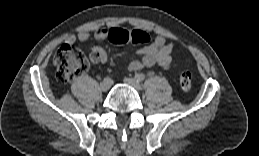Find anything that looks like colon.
<instances>
[{
  "instance_id": "colon-1",
  "label": "colon",
  "mask_w": 259,
  "mask_h": 156,
  "mask_svg": "<svg viewBox=\"0 0 259 156\" xmlns=\"http://www.w3.org/2000/svg\"><path fill=\"white\" fill-rule=\"evenodd\" d=\"M108 39L115 44H143L150 41L148 33L143 30H123L112 29ZM53 64L56 76L62 83H68L81 76L89 66L85 54L77 47L70 44L62 45L54 55ZM180 86L183 91H189L192 87V75L184 70L179 78Z\"/></svg>"
}]
</instances>
